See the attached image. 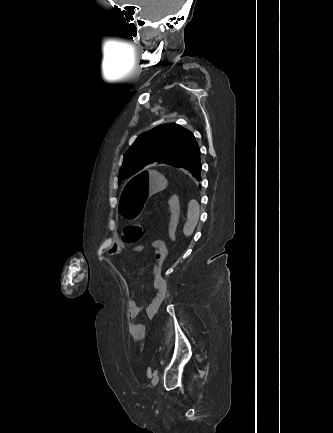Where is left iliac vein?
Masks as SVG:
<instances>
[{"label":"left iliac vein","instance_id":"obj_1","mask_svg":"<svg viewBox=\"0 0 333 433\" xmlns=\"http://www.w3.org/2000/svg\"><path fill=\"white\" fill-rule=\"evenodd\" d=\"M158 381H159V376H158V374H155V376L152 380L153 386H156L158 384Z\"/></svg>","mask_w":333,"mask_h":433}]
</instances>
